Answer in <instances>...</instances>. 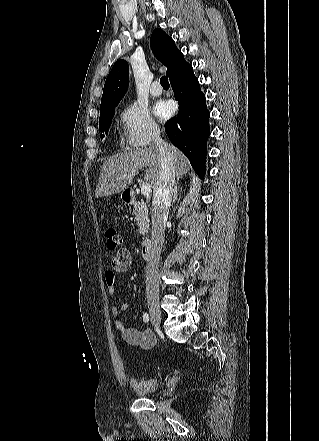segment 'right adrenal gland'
<instances>
[{
    "mask_svg": "<svg viewBox=\"0 0 319 441\" xmlns=\"http://www.w3.org/2000/svg\"><path fill=\"white\" fill-rule=\"evenodd\" d=\"M178 181L175 185L174 188V194H173V199H172V205L175 204V202L177 201V197H178V187H177Z\"/></svg>",
    "mask_w": 319,
    "mask_h": 441,
    "instance_id": "1",
    "label": "right adrenal gland"
}]
</instances>
